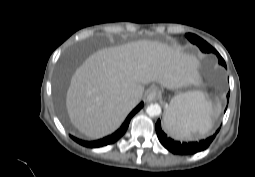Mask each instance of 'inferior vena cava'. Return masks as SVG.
I'll return each instance as SVG.
<instances>
[{"label":"inferior vena cava","instance_id":"obj_1","mask_svg":"<svg viewBox=\"0 0 255 177\" xmlns=\"http://www.w3.org/2000/svg\"><path fill=\"white\" fill-rule=\"evenodd\" d=\"M137 102H138V100H137V98H136V97L131 96V97L129 98V103H130V104H132V105H136V104H137Z\"/></svg>","mask_w":255,"mask_h":177}]
</instances>
